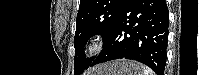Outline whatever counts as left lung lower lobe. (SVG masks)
<instances>
[{
	"label": "left lung lower lobe",
	"mask_w": 199,
	"mask_h": 75,
	"mask_svg": "<svg viewBox=\"0 0 199 75\" xmlns=\"http://www.w3.org/2000/svg\"><path fill=\"white\" fill-rule=\"evenodd\" d=\"M169 13L165 0H128L115 28L91 66L115 59H131L164 75Z\"/></svg>",
	"instance_id": "left-lung-lower-lobe-1"
}]
</instances>
